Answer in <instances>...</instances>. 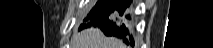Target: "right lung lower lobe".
<instances>
[{
    "instance_id": "98d812e1",
    "label": "right lung lower lobe",
    "mask_w": 213,
    "mask_h": 48,
    "mask_svg": "<svg viewBox=\"0 0 213 48\" xmlns=\"http://www.w3.org/2000/svg\"><path fill=\"white\" fill-rule=\"evenodd\" d=\"M130 0H98L95 7L85 19V24L80 28L90 26L100 28L106 36L121 38L127 45H134L133 38L126 24V9Z\"/></svg>"
}]
</instances>
